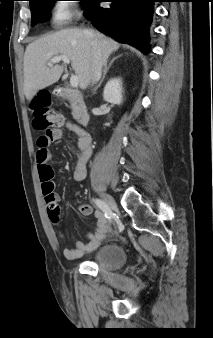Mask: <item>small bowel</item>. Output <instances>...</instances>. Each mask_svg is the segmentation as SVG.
Returning <instances> with one entry per match:
<instances>
[{"label": "small bowel", "mask_w": 213, "mask_h": 338, "mask_svg": "<svg viewBox=\"0 0 213 338\" xmlns=\"http://www.w3.org/2000/svg\"><path fill=\"white\" fill-rule=\"evenodd\" d=\"M66 126L78 135L77 148L75 149L76 165L74 169V178L78 181H82L86 177V165L91 154L92 139L91 136L77 123L68 121ZM62 137V130L56 128L53 130L50 137L41 135L37 138V155L36 162L38 169L41 173L42 170H52L51 161L52 154L50 147L52 143ZM61 198L57 193H53L52 196L46 200L47 213L49 218H57L55 227L58 230V238L63 239L64 233L61 231V224L58 219L60 217L59 202ZM79 210L82 214L88 215L91 213L92 208L89 205H80ZM96 217V229L94 233L87 234V243L83 241H76L74 247L66 248L63 254L68 260H76L82 257L84 254L90 252L94 246L101 241L107 234V220L101 211L95 213Z\"/></svg>", "instance_id": "1"}]
</instances>
